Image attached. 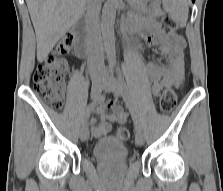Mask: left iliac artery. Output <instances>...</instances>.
Instances as JSON below:
<instances>
[{
  "label": "left iliac artery",
  "instance_id": "left-iliac-artery-1",
  "mask_svg": "<svg viewBox=\"0 0 223 191\" xmlns=\"http://www.w3.org/2000/svg\"><path fill=\"white\" fill-rule=\"evenodd\" d=\"M119 79L121 80V82L124 84V87H125V100H126L128 108L131 112V116H132V119H133V122H134L135 130L141 129V124H140L139 118H138L137 113H136V109H135V106H134L133 99H132V97H131V95L128 91V88H127L121 74L119 75Z\"/></svg>",
  "mask_w": 223,
  "mask_h": 191
}]
</instances>
